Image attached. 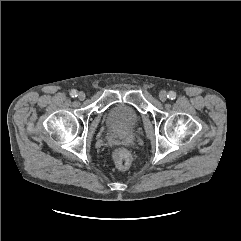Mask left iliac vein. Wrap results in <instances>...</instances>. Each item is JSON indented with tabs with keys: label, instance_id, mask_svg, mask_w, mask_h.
<instances>
[{
	"label": "left iliac vein",
	"instance_id": "1",
	"mask_svg": "<svg viewBox=\"0 0 241 241\" xmlns=\"http://www.w3.org/2000/svg\"><path fill=\"white\" fill-rule=\"evenodd\" d=\"M159 99H160L162 102L166 101V99H167V93H166V91H161V92L159 93Z\"/></svg>",
	"mask_w": 241,
	"mask_h": 241
}]
</instances>
